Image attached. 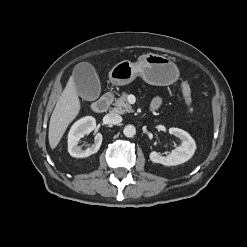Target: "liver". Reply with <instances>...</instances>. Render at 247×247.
<instances>
[{
	"instance_id": "6515ba94",
	"label": "liver",
	"mask_w": 247,
	"mask_h": 247,
	"mask_svg": "<svg viewBox=\"0 0 247 247\" xmlns=\"http://www.w3.org/2000/svg\"><path fill=\"white\" fill-rule=\"evenodd\" d=\"M81 108L73 76L59 97L49 123V144L55 149L68 125L75 119Z\"/></svg>"
}]
</instances>
